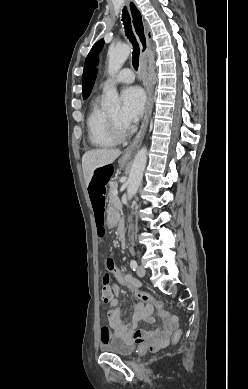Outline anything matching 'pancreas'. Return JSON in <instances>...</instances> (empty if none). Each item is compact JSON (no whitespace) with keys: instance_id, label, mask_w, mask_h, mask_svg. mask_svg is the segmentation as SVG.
Instances as JSON below:
<instances>
[{"instance_id":"cf45deb5","label":"pancreas","mask_w":248,"mask_h":389,"mask_svg":"<svg viewBox=\"0 0 248 389\" xmlns=\"http://www.w3.org/2000/svg\"><path fill=\"white\" fill-rule=\"evenodd\" d=\"M118 184L117 182H111L110 183V189H109V203L114 209H120L121 208V203L117 195L114 194L115 191H117Z\"/></svg>"}]
</instances>
